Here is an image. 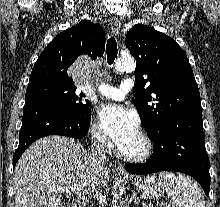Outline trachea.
Here are the masks:
<instances>
[{
	"mask_svg": "<svg viewBox=\"0 0 220 207\" xmlns=\"http://www.w3.org/2000/svg\"><path fill=\"white\" fill-rule=\"evenodd\" d=\"M107 50V62L108 64H113L115 58L118 54L117 43L114 37H110L106 45Z\"/></svg>",
	"mask_w": 220,
	"mask_h": 207,
	"instance_id": "3493384b",
	"label": "trachea"
}]
</instances>
